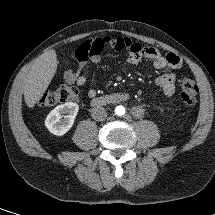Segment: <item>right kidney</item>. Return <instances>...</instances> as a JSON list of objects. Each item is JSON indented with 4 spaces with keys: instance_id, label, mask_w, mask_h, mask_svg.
<instances>
[{
    "instance_id": "right-kidney-1",
    "label": "right kidney",
    "mask_w": 215,
    "mask_h": 215,
    "mask_svg": "<svg viewBox=\"0 0 215 215\" xmlns=\"http://www.w3.org/2000/svg\"><path fill=\"white\" fill-rule=\"evenodd\" d=\"M78 110L76 103L61 104L47 115L45 126L52 134L62 136L72 128Z\"/></svg>"
}]
</instances>
